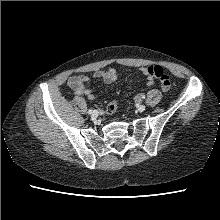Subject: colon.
<instances>
[{"label":"colon","instance_id":"1","mask_svg":"<svg viewBox=\"0 0 220 220\" xmlns=\"http://www.w3.org/2000/svg\"><path fill=\"white\" fill-rule=\"evenodd\" d=\"M148 73L159 81V84L164 91H168L171 89L172 81L169 75H167L161 67L149 66ZM117 109H118V102L116 100H113L108 103L106 107V112L108 114H113L117 111Z\"/></svg>","mask_w":220,"mask_h":220}]
</instances>
